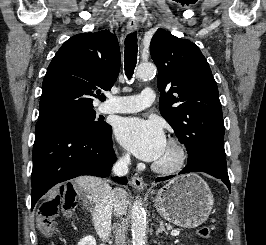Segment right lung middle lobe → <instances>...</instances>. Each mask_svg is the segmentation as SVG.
<instances>
[{
    "label": "right lung middle lobe",
    "instance_id": "right-lung-middle-lobe-1",
    "mask_svg": "<svg viewBox=\"0 0 266 245\" xmlns=\"http://www.w3.org/2000/svg\"><path fill=\"white\" fill-rule=\"evenodd\" d=\"M95 116L96 113L94 109H85L68 112L53 119L38 121L35 128V134L52 128L58 124L75 125L92 134L104 133L108 124L105 122L94 121Z\"/></svg>",
    "mask_w": 266,
    "mask_h": 245
}]
</instances>
